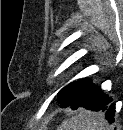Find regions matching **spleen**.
I'll use <instances>...</instances> for the list:
<instances>
[{"label":"spleen","mask_w":123,"mask_h":130,"mask_svg":"<svg viewBox=\"0 0 123 130\" xmlns=\"http://www.w3.org/2000/svg\"><path fill=\"white\" fill-rule=\"evenodd\" d=\"M59 130H105V122L96 114L81 109L78 114L62 122Z\"/></svg>","instance_id":"obj_1"}]
</instances>
